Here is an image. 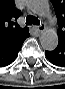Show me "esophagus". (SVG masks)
Here are the masks:
<instances>
[{
	"mask_svg": "<svg viewBox=\"0 0 65 89\" xmlns=\"http://www.w3.org/2000/svg\"><path fill=\"white\" fill-rule=\"evenodd\" d=\"M35 29L38 33H42L46 29V26L45 24H40L39 26H35Z\"/></svg>",
	"mask_w": 65,
	"mask_h": 89,
	"instance_id": "obj_1",
	"label": "esophagus"
}]
</instances>
